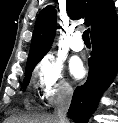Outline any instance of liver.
I'll use <instances>...</instances> for the list:
<instances>
[{"mask_svg": "<svg viewBox=\"0 0 118 123\" xmlns=\"http://www.w3.org/2000/svg\"><path fill=\"white\" fill-rule=\"evenodd\" d=\"M4 123H58L54 115L32 114L27 116H11Z\"/></svg>", "mask_w": 118, "mask_h": 123, "instance_id": "6515ba94", "label": "liver"}]
</instances>
